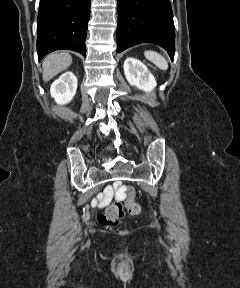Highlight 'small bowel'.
Masks as SVG:
<instances>
[{
  "label": "small bowel",
  "instance_id": "obj_1",
  "mask_svg": "<svg viewBox=\"0 0 240 288\" xmlns=\"http://www.w3.org/2000/svg\"><path fill=\"white\" fill-rule=\"evenodd\" d=\"M122 192H123V189H120V190H119V193H122Z\"/></svg>",
  "mask_w": 240,
  "mask_h": 288
}]
</instances>
